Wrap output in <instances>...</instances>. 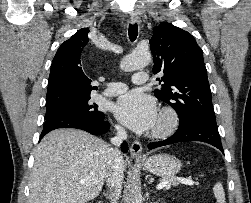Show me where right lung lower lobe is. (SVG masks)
Segmentation results:
<instances>
[{"label": "right lung lower lobe", "instance_id": "98d812e1", "mask_svg": "<svg viewBox=\"0 0 251 203\" xmlns=\"http://www.w3.org/2000/svg\"><path fill=\"white\" fill-rule=\"evenodd\" d=\"M58 128H76L87 131L93 135H98L108 132L110 125L105 120H98L88 115H60L45 120L40 139L48 132ZM121 149L123 152H127L128 145L126 142L121 145Z\"/></svg>", "mask_w": 251, "mask_h": 203}]
</instances>
